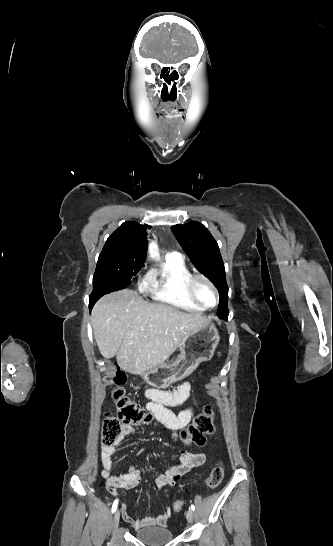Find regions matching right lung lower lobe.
Returning <instances> with one entry per match:
<instances>
[{"instance_id":"right-lung-lower-lobe-1","label":"right lung lower lobe","mask_w":333,"mask_h":546,"mask_svg":"<svg viewBox=\"0 0 333 546\" xmlns=\"http://www.w3.org/2000/svg\"><path fill=\"white\" fill-rule=\"evenodd\" d=\"M94 303H95V302H93V301H89V308H90V310H91L92 306L94 305Z\"/></svg>"}]
</instances>
